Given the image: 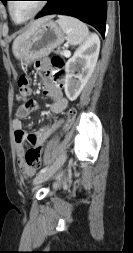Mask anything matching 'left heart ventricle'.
<instances>
[{"instance_id":"left-heart-ventricle-1","label":"left heart ventricle","mask_w":133,"mask_h":253,"mask_svg":"<svg viewBox=\"0 0 133 253\" xmlns=\"http://www.w3.org/2000/svg\"><path fill=\"white\" fill-rule=\"evenodd\" d=\"M38 1H13L12 13L16 20L20 21L28 17L38 6Z\"/></svg>"}]
</instances>
